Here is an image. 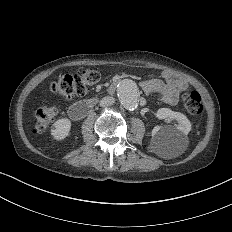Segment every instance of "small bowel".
Returning <instances> with one entry per match:
<instances>
[{
	"label": "small bowel",
	"instance_id": "1",
	"mask_svg": "<svg viewBox=\"0 0 232 232\" xmlns=\"http://www.w3.org/2000/svg\"><path fill=\"white\" fill-rule=\"evenodd\" d=\"M140 86L145 94L158 92L162 102L175 103L178 100V94L186 88V82L167 75L162 80L144 79Z\"/></svg>",
	"mask_w": 232,
	"mask_h": 232
}]
</instances>
